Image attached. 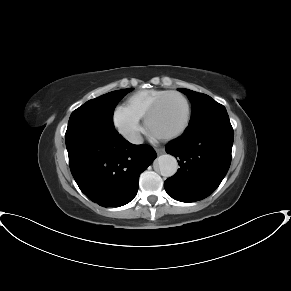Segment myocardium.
I'll return each instance as SVG.
<instances>
[{"instance_id":"myocardium-1","label":"myocardium","mask_w":291,"mask_h":291,"mask_svg":"<svg viewBox=\"0 0 291 291\" xmlns=\"http://www.w3.org/2000/svg\"><path fill=\"white\" fill-rule=\"evenodd\" d=\"M170 96H179L184 100V102L186 104V110H187L186 120H185L184 124L175 132L170 133L168 135L156 136V135L152 134L150 131L151 119L154 116V114L157 112V110L160 108V106L163 104V102ZM144 118H145L146 131L149 135H151L152 137H154L156 139L162 140V141L172 140V139H175V138L183 135L187 131V129L189 128L191 121H192V106H191L189 99L183 93L178 92V91H169L166 94H164L163 96H161L152 105V107L148 110V112L146 113Z\"/></svg>"}]
</instances>
